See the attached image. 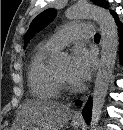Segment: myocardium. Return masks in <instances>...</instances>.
Instances as JSON below:
<instances>
[{"instance_id": "obj_1", "label": "myocardium", "mask_w": 123, "mask_h": 130, "mask_svg": "<svg viewBox=\"0 0 123 130\" xmlns=\"http://www.w3.org/2000/svg\"><path fill=\"white\" fill-rule=\"evenodd\" d=\"M55 76L60 89L65 91H71L74 89V86L67 80H65L63 77H61L56 69H55Z\"/></svg>"}]
</instances>
